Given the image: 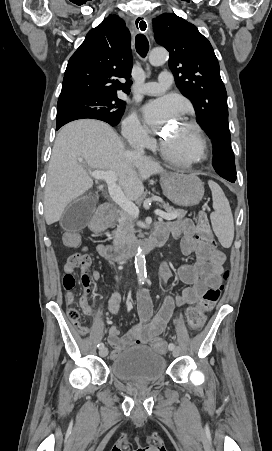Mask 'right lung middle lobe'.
Listing matches in <instances>:
<instances>
[{"instance_id":"obj_1","label":"right lung middle lobe","mask_w":272,"mask_h":451,"mask_svg":"<svg viewBox=\"0 0 272 451\" xmlns=\"http://www.w3.org/2000/svg\"><path fill=\"white\" fill-rule=\"evenodd\" d=\"M125 104L116 95H90L58 100L56 126L84 118L103 120L115 126L120 121Z\"/></svg>"}]
</instances>
